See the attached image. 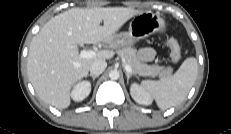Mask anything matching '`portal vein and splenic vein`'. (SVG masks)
Wrapping results in <instances>:
<instances>
[{"instance_id":"portal-vein-and-splenic-vein-1","label":"portal vein and splenic vein","mask_w":231,"mask_h":134,"mask_svg":"<svg viewBox=\"0 0 231 134\" xmlns=\"http://www.w3.org/2000/svg\"><path fill=\"white\" fill-rule=\"evenodd\" d=\"M96 55V52L94 50H84L80 53V58H92ZM125 70L129 73H132V68L130 65L125 64L124 66Z\"/></svg>"}]
</instances>
